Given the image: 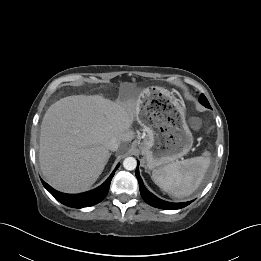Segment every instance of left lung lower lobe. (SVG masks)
I'll return each instance as SVG.
<instances>
[{"mask_svg": "<svg viewBox=\"0 0 261 261\" xmlns=\"http://www.w3.org/2000/svg\"><path fill=\"white\" fill-rule=\"evenodd\" d=\"M138 165H139V163H138ZM138 165H137V168H136V177H137L138 182H139L140 193H141L142 198L149 205L156 207V208H160V209L175 210V209H181L183 207H186L187 205H189L192 202V201H189V202H184V203H171V202L161 200L158 197H156L155 195H153L151 192H149L145 188L143 181H142L140 174H139Z\"/></svg>", "mask_w": 261, "mask_h": 261, "instance_id": "obj_1", "label": "left lung lower lobe"}]
</instances>
